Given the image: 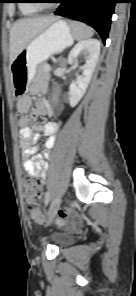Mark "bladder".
<instances>
[{
    "mask_svg": "<svg viewBox=\"0 0 136 296\" xmlns=\"http://www.w3.org/2000/svg\"><path fill=\"white\" fill-rule=\"evenodd\" d=\"M69 235H67L66 233H56L53 237H52V242L57 244V245H63L68 243L69 241Z\"/></svg>",
    "mask_w": 136,
    "mask_h": 296,
    "instance_id": "obj_1",
    "label": "bladder"
}]
</instances>
